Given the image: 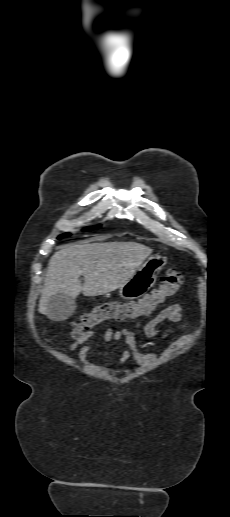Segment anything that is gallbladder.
<instances>
[{"instance_id": "gallbladder-1", "label": "gallbladder", "mask_w": 230, "mask_h": 517, "mask_svg": "<svg viewBox=\"0 0 230 517\" xmlns=\"http://www.w3.org/2000/svg\"><path fill=\"white\" fill-rule=\"evenodd\" d=\"M76 304L69 296L58 293L52 296L47 303V316L55 321L69 318L75 311Z\"/></svg>"}]
</instances>
